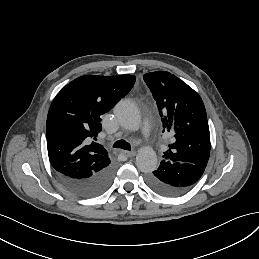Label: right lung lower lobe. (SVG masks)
I'll use <instances>...</instances> for the list:
<instances>
[{
    "mask_svg": "<svg viewBox=\"0 0 259 259\" xmlns=\"http://www.w3.org/2000/svg\"><path fill=\"white\" fill-rule=\"evenodd\" d=\"M60 183L72 194L81 198L96 197L104 193L111 185L115 174L114 166L109 165L89 178L76 179L55 171Z\"/></svg>",
    "mask_w": 259,
    "mask_h": 259,
    "instance_id": "98d812e1",
    "label": "right lung lower lobe"
}]
</instances>
